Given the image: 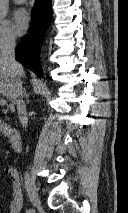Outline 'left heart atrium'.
<instances>
[{
  "label": "left heart atrium",
  "mask_w": 128,
  "mask_h": 213,
  "mask_svg": "<svg viewBox=\"0 0 128 213\" xmlns=\"http://www.w3.org/2000/svg\"><path fill=\"white\" fill-rule=\"evenodd\" d=\"M31 23V17L26 9L19 8L14 11L12 16V25L18 35L24 34Z\"/></svg>",
  "instance_id": "left-heart-atrium-1"
}]
</instances>
